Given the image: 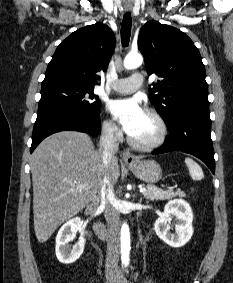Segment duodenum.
<instances>
[{
    "mask_svg": "<svg viewBox=\"0 0 233 283\" xmlns=\"http://www.w3.org/2000/svg\"><path fill=\"white\" fill-rule=\"evenodd\" d=\"M94 208H95L94 204L88 206L86 208V210H85V214L86 215L91 214L94 211ZM94 227H95V231H96L97 235L100 238H105L106 237V230H105V228H104V226L102 224L96 223Z\"/></svg>",
    "mask_w": 233,
    "mask_h": 283,
    "instance_id": "obj_1",
    "label": "duodenum"
}]
</instances>
